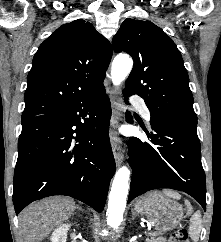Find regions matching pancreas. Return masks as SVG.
Masks as SVG:
<instances>
[{"label":"pancreas","instance_id":"pancreas-1","mask_svg":"<svg viewBox=\"0 0 221 242\" xmlns=\"http://www.w3.org/2000/svg\"><path fill=\"white\" fill-rule=\"evenodd\" d=\"M163 240L164 239L161 237L156 238V237H154V235H152V237L147 239V242H164Z\"/></svg>","mask_w":221,"mask_h":242}]
</instances>
